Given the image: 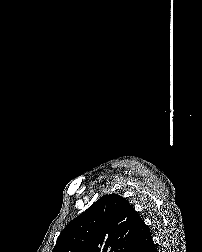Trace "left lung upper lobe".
I'll return each instance as SVG.
<instances>
[{
	"label": "left lung upper lobe",
	"instance_id": "left-lung-upper-lobe-1",
	"mask_svg": "<svg viewBox=\"0 0 202 252\" xmlns=\"http://www.w3.org/2000/svg\"><path fill=\"white\" fill-rule=\"evenodd\" d=\"M141 221L125 198L104 195L69 222L52 252H132Z\"/></svg>",
	"mask_w": 202,
	"mask_h": 252
}]
</instances>
